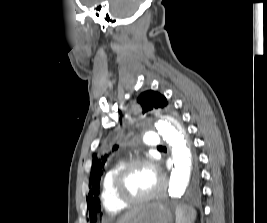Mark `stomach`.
I'll use <instances>...</instances> for the list:
<instances>
[{
	"label": "stomach",
	"mask_w": 267,
	"mask_h": 223,
	"mask_svg": "<svg viewBox=\"0 0 267 223\" xmlns=\"http://www.w3.org/2000/svg\"><path fill=\"white\" fill-rule=\"evenodd\" d=\"M139 212L126 223H172V207L161 199L140 206Z\"/></svg>",
	"instance_id": "obj_1"
}]
</instances>
